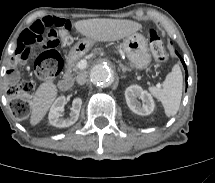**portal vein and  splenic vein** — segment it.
<instances>
[{"label": "portal vein and splenic vein", "instance_id": "1", "mask_svg": "<svg viewBox=\"0 0 215 183\" xmlns=\"http://www.w3.org/2000/svg\"><path fill=\"white\" fill-rule=\"evenodd\" d=\"M77 67L80 69V70H83L87 67V61L85 59L83 60H80L77 64Z\"/></svg>", "mask_w": 215, "mask_h": 183}]
</instances>
